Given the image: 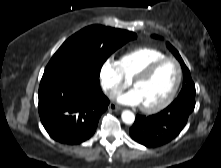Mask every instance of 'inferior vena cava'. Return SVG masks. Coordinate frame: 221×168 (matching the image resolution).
<instances>
[{
	"label": "inferior vena cava",
	"instance_id": "602c4592",
	"mask_svg": "<svg viewBox=\"0 0 221 168\" xmlns=\"http://www.w3.org/2000/svg\"><path fill=\"white\" fill-rule=\"evenodd\" d=\"M108 94L110 97H113V96L117 95V92L112 90Z\"/></svg>",
	"mask_w": 221,
	"mask_h": 168
}]
</instances>
